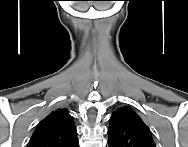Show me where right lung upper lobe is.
I'll use <instances>...</instances> for the list:
<instances>
[{
    "label": "right lung upper lobe",
    "instance_id": "1",
    "mask_svg": "<svg viewBox=\"0 0 188 147\" xmlns=\"http://www.w3.org/2000/svg\"><path fill=\"white\" fill-rule=\"evenodd\" d=\"M29 147H78L73 117L66 109L51 112L36 128Z\"/></svg>",
    "mask_w": 188,
    "mask_h": 147
}]
</instances>
